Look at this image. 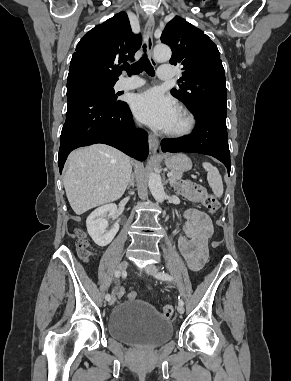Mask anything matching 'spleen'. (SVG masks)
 Wrapping results in <instances>:
<instances>
[{"label":"spleen","mask_w":291,"mask_h":381,"mask_svg":"<svg viewBox=\"0 0 291 381\" xmlns=\"http://www.w3.org/2000/svg\"><path fill=\"white\" fill-rule=\"evenodd\" d=\"M203 167L207 171V180L213 194L216 197H221L223 195V182L218 169L209 162H204Z\"/></svg>","instance_id":"spleen-1"}]
</instances>
